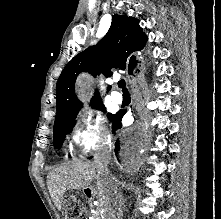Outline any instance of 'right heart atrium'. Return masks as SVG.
Listing matches in <instances>:
<instances>
[{
	"label": "right heart atrium",
	"mask_w": 221,
	"mask_h": 219,
	"mask_svg": "<svg viewBox=\"0 0 221 219\" xmlns=\"http://www.w3.org/2000/svg\"><path fill=\"white\" fill-rule=\"evenodd\" d=\"M110 138L105 120L100 113L84 111L77 119L72 139L82 153H89L106 143Z\"/></svg>",
	"instance_id": "d8ad5b80"
}]
</instances>
